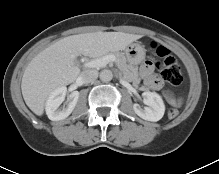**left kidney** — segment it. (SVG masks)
<instances>
[{
  "instance_id": "5707ae66",
  "label": "left kidney",
  "mask_w": 219,
  "mask_h": 174,
  "mask_svg": "<svg viewBox=\"0 0 219 174\" xmlns=\"http://www.w3.org/2000/svg\"><path fill=\"white\" fill-rule=\"evenodd\" d=\"M143 103L147 107L141 108L139 104H134L133 109L135 113L144 120L157 122L165 112L164 102L159 94L156 92L146 91L143 94Z\"/></svg>"
}]
</instances>
